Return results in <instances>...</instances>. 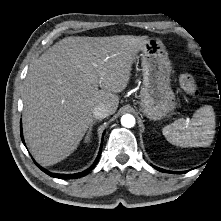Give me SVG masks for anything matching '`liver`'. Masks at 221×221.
I'll list each match as a JSON object with an SVG mask.
<instances>
[{"label": "liver", "instance_id": "obj_1", "mask_svg": "<svg viewBox=\"0 0 221 221\" xmlns=\"http://www.w3.org/2000/svg\"><path fill=\"white\" fill-rule=\"evenodd\" d=\"M146 36L67 37L30 65L23 90L24 137L35 160L56 164L77 149L93 109L119 105ZM98 87L101 89L99 90Z\"/></svg>", "mask_w": 221, "mask_h": 221}]
</instances>
